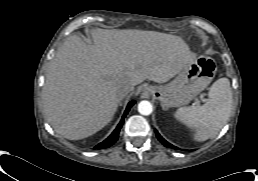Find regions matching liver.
Returning a JSON list of instances; mask_svg holds the SVG:
<instances>
[{"label":"liver","mask_w":258,"mask_h":181,"mask_svg":"<svg viewBox=\"0 0 258 181\" xmlns=\"http://www.w3.org/2000/svg\"><path fill=\"white\" fill-rule=\"evenodd\" d=\"M94 45L70 36L50 62L43 112L54 131L70 140L95 134L113 118L119 91L149 79L163 83L197 55L178 36L141 30L91 32Z\"/></svg>","instance_id":"1"}]
</instances>
